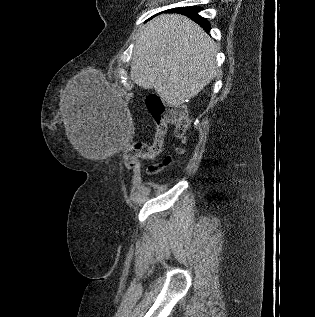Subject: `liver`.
<instances>
[{"mask_svg":"<svg viewBox=\"0 0 315 317\" xmlns=\"http://www.w3.org/2000/svg\"><path fill=\"white\" fill-rule=\"evenodd\" d=\"M217 52L215 42L189 18L160 15L142 27L130 77L143 89L154 88L163 101L177 107L213 79ZM74 105L68 98L63 114L66 135L80 154L88 156L82 116Z\"/></svg>","mask_w":315,"mask_h":317,"instance_id":"obj_1","label":"liver"}]
</instances>
